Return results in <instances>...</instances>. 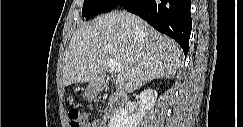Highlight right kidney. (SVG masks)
<instances>
[{"label":"right kidney","instance_id":"right-kidney-1","mask_svg":"<svg viewBox=\"0 0 243 127\" xmlns=\"http://www.w3.org/2000/svg\"><path fill=\"white\" fill-rule=\"evenodd\" d=\"M157 92L153 89H145L140 93L139 108L134 114H128V110L121 108L114 113L108 127H137L146 113L154 107Z\"/></svg>","mask_w":243,"mask_h":127}]
</instances>
